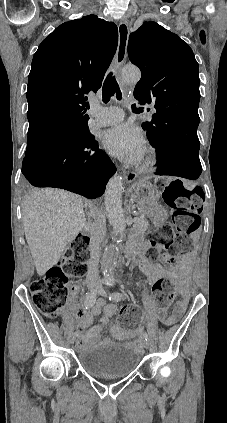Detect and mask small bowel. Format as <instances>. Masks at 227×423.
<instances>
[{
    "label": "small bowel",
    "mask_w": 227,
    "mask_h": 423,
    "mask_svg": "<svg viewBox=\"0 0 227 423\" xmlns=\"http://www.w3.org/2000/svg\"><path fill=\"white\" fill-rule=\"evenodd\" d=\"M139 264L147 278L148 284L150 285H154L166 274L164 269L146 256L140 257ZM180 292L182 299L175 303L171 314H168L167 311H159L158 315H156L154 310L151 308L146 312V319L150 323H153L158 318L160 322L167 326L176 323L184 313L189 297L186 281L184 279H181L180 281ZM116 310L117 307L114 304H106L104 301L99 300L96 304L89 308L87 313L82 314L78 324V329L81 333L77 343L78 348L85 349L95 344L100 338V333L103 327L106 326L110 318L115 315ZM101 313H103V316L99 318L96 324H93L94 319ZM111 332L115 338L120 340L136 337L141 338L143 336L142 328L125 331L117 326H112ZM104 342L108 343L110 340L106 339Z\"/></svg>",
    "instance_id": "1"
}]
</instances>
